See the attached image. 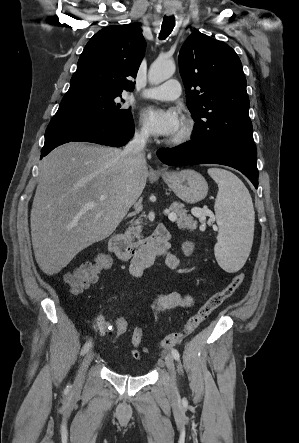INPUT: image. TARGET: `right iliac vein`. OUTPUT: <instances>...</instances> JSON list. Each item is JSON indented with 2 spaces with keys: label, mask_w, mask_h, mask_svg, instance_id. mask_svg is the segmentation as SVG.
<instances>
[{
  "label": "right iliac vein",
  "mask_w": 299,
  "mask_h": 443,
  "mask_svg": "<svg viewBox=\"0 0 299 443\" xmlns=\"http://www.w3.org/2000/svg\"><path fill=\"white\" fill-rule=\"evenodd\" d=\"M94 357V352L93 350H90L86 356L84 357L81 366L79 368L76 380H75V386L76 388H80L83 384V380H84V376H85V372L90 364V362L92 361Z\"/></svg>",
  "instance_id": "1"
}]
</instances>
